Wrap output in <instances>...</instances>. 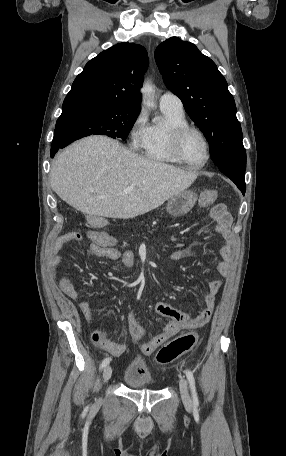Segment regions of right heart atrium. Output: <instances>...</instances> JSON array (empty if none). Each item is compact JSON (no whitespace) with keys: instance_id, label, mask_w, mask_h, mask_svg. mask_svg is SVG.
Returning a JSON list of instances; mask_svg holds the SVG:
<instances>
[{"instance_id":"d8ad5b80","label":"right heart atrium","mask_w":286,"mask_h":456,"mask_svg":"<svg viewBox=\"0 0 286 456\" xmlns=\"http://www.w3.org/2000/svg\"><path fill=\"white\" fill-rule=\"evenodd\" d=\"M147 119L144 110H141L134 118L130 128V140L134 147L140 146L146 132Z\"/></svg>"}]
</instances>
